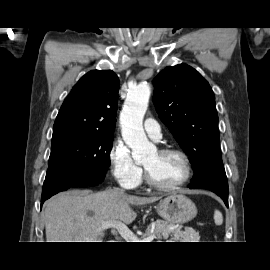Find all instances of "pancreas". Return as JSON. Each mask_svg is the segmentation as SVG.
<instances>
[{"label": "pancreas", "instance_id": "cf45deb5", "mask_svg": "<svg viewBox=\"0 0 270 270\" xmlns=\"http://www.w3.org/2000/svg\"><path fill=\"white\" fill-rule=\"evenodd\" d=\"M174 225L163 220L152 222L146 229L142 238L156 235L158 239H167L171 235L170 242H198L200 239L199 232L193 228L186 227L185 231L180 228H174Z\"/></svg>", "mask_w": 270, "mask_h": 270}]
</instances>
